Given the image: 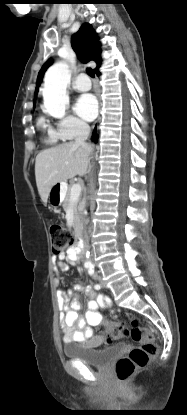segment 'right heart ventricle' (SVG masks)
<instances>
[{
    "mask_svg": "<svg viewBox=\"0 0 187 415\" xmlns=\"http://www.w3.org/2000/svg\"><path fill=\"white\" fill-rule=\"evenodd\" d=\"M37 126L42 131L46 144H56L63 140L58 129H55L44 117H39Z\"/></svg>",
    "mask_w": 187,
    "mask_h": 415,
    "instance_id": "right-heart-ventricle-1",
    "label": "right heart ventricle"
}]
</instances>
